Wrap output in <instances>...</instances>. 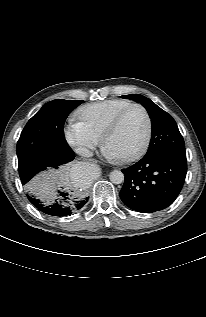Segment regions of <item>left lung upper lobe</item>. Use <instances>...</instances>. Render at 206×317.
Instances as JSON below:
<instances>
[{
    "label": "left lung upper lobe",
    "mask_w": 206,
    "mask_h": 317,
    "mask_svg": "<svg viewBox=\"0 0 206 317\" xmlns=\"http://www.w3.org/2000/svg\"><path fill=\"white\" fill-rule=\"evenodd\" d=\"M141 103L149 113L152 122V138L146 155L160 152L185 154V144L175 120L149 98L140 95H123Z\"/></svg>",
    "instance_id": "left-lung-upper-lobe-1"
}]
</instances>
